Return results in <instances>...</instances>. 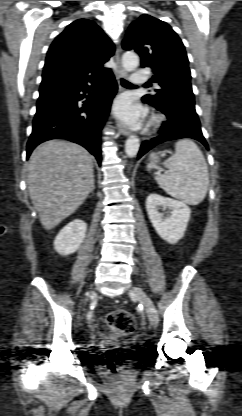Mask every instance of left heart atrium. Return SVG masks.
<instances>
[{
    "label": "left heart atrium",
    "instance_id": "1",
    "mask_svg": "<svg viewBox=\"0 0 242 416\" xmlns=\"http://www.w3.org/2000/svg\"><path fill=\"white\" fill-rule=\"evenodd\" d=\"M116 115L129 125H137L143 115L140 106L133 104L127 97H121L114 106Z\"/></svg>",
    "mask_w": 242,
    "mask_h": 416
}]
</instances>
